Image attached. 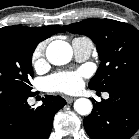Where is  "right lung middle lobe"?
<instances>
[{"instance_id":"1","label":"right lung middle lobe","mask_w":139,"mask_h":139,"mask_svg":"<svg viewBox=\"0 0 139 139\" xmlns=\"http://www.w3.org/2000/svg\"><path fill=\"white\" fill-rule=\"evenodd\" d=\"M37 42L16 35H0V92L31 96L32 54Z\"/></svg>"}]
</instances>
